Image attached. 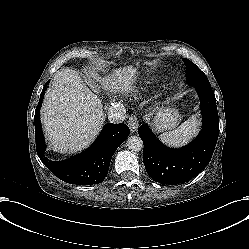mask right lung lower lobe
I'll list each match as a JSON object with an SVG mask.
<instances>
[{"mask_svg": "<svg viewBox=\"0 0 249 249\" xmlns=\"http://www.w3.org/2000/svg\"><path fill=\"white\" fill-rule=\"evenodd\" d=\"M47 88L45 84L35 110L36 150L42 163L59 179L70 184L92 185L106 177L116 149L130 134L126 124H105L97 140L84 152L63 161H51L44 156L45 142L40 121V107Z\"/></svg>", "mask_w": 249, "mask_h": 249, "instance_id": "98d812e1", "label": "right lung lower lobe"}]
</instances>
